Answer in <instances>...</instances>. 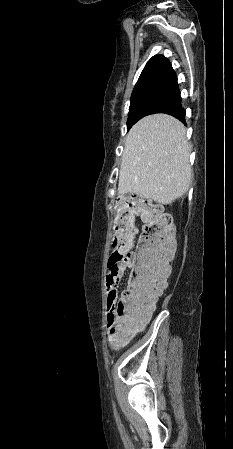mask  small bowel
Returning <instances> with one entry per match:
<instances>
[{"label": "small bowel", "mask_w": 233, "mask_h": 449, "mask_svg": "<svg viewBox=\"0 0 233 449\" xmlns=\"http://www.w3.org/2000/svg\"><path fill=\"white\" fill-rule=\"evenodd\" d=\"M138 232V228H137ZM132 265V260L120 262L111 265L109 271L106 275V290H107V304L110 312H112L116 306L118 300V286L121 278L123 277L126 269ZM111 343L115 345L113 339L111 338ZM116 346V345H115Z\"/></svg>", "instance_id": "obj_1"}]
</instances>
